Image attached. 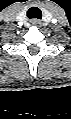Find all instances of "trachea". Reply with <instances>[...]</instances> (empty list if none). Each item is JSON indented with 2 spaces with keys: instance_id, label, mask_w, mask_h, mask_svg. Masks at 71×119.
I'll return each instance as SVG.
<instances>
[{
  "instance_id": "trachea-1",
  "label": "trachea",
  "mask_w": 71,
  "mask_h": 119,
  "mask_svg": "<svg viewBox=\"0 0 71 119\" xmlns=\"http://www.w3.org/2000/svg\"><path fill=\"white\" fill-rule=\"evenodd\" d=\"M27 16H28L29 19H41L42 13H41V10L39 8L31 7L27 11Z\"/></svg>"
}]
</instances>
